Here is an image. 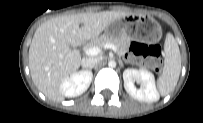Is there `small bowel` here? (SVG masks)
<instances>
[{
	"label": "small bowel",
	"instance_id": "small-bowel-1",
	"mask_svg": "<svg viewBox=\"0 0 203 123\" xmlns=\"http://www.w3.org/2000/svg\"><path fill=\"white\" fill-rule=\"evenodd\" d=\"M133 54H134V55H137V54H139V53H138V51L134 50V51H133Z\"/></svg>",
	"mask_w": 203,
	"mask_h": 123
}]
</instances>
